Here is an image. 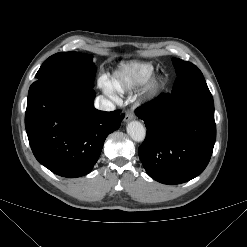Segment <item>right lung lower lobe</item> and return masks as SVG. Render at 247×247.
<instances>
[{
	"label": "right lung lower lobe",
	"instance_id": "obj_1",
	"mask_svg": "<svg viewBox=\"0 0 247 247\" xmlns=\"http://www.w3.org/2000/svg\"><path fill=\"white\" fill-rule=\"evenodd\" d=\"M92 87L58 80L34 82L28 92L25 127L38 162L53 173L75 178L96 164L106 137L124 114L94 108Z\"/></svg>",
	"mask_w": 247,
	"mask_h": 247
}]
</instances>
